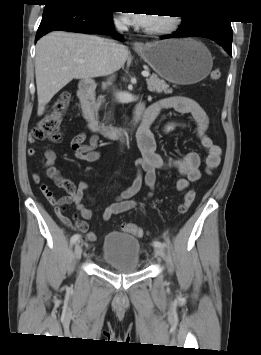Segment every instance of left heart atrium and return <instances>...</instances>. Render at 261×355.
I'll return each instance as SVG.
<instances>
[{
	"instance_id": "1",
	"label": "left heart atrium",
	"mask_w": 261,
	"mask_h": 355,
	"mask_svg": "<svg viewBox=\"0 0 261 355\" xmlns=\"http://www.w3.org/2000/svg\"><path fill=\"white\" fill-rule=\"evenodd\" d=\"M126 20L129 24L140 27H148L152 20L149 13H125Z\"/></svg>"
}]
</instances>
